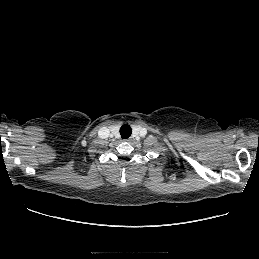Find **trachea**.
<instances>
[{
	"label": "trachea",
	"instance_id": "obj_1",
	"mask_svg": "<svg viewBox=\"0 0 259 259\" xmlns=\"http://www.w3.org/2000/svg\"><path fill=\"white\" fill-rule=\"evenodd\" d=\"M132 133V129L129 125L125 124L120 128V135L123 139L129 138Z\"/></svg>",
	"mask_w": 259,
	"mask_h": 259
}]
</instances>
